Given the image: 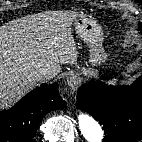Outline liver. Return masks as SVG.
Wrapping results in <instances>:
<instances>
[{
  "mask_svg": "<svg viewBox=\"0 0 142 142\" xmlns=\"http://www.w3.org/2000/svg\"><path fill=\"white\" fill-rule=\"evenodd\" d=\"M78 15L73 11L38 13L0 27V104L37 86L38 69L51 67L58 74L60 64H77L70 27Z\"/></svg>",
  "mask_w": 142,
  "mask_h": 142,
  "instance_id": "6515ba94",
  "label": "liver"
}]
</instances>
